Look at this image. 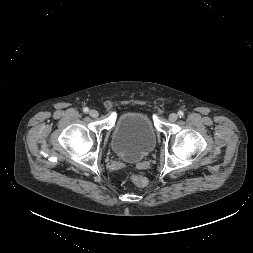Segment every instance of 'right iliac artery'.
I'll return each instance as SVG.
<instances>
[{
	"instance_id": "right-iliac-artery-1",
	"label": "right iliac artery",
	"mask_w": 253,
	"mask_h": 253,
	"mask_svg": "<svg viewBox=\"0 0 253 253\" xmlns=\"http://www.w3.org/2000/svg\"><path fill=\"white\" fill-rule=\"evenodd\" d=\"M83 111H84V113H87V112L89 111V109H88L87 107H85V108L83 109Z\"/></svg>"
}]
</instances>
